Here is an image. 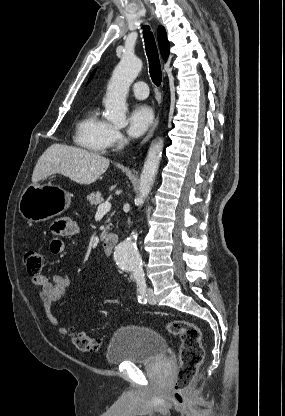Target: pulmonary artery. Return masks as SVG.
<instances>
[{"instance_id": "pulmonary-artery-1", "label": "pulmonary artery", "mask_w": 285, "mask_h": 416, "mask_svg": "<svg viewBox=\"0 0 285 416\" xmlns=\"http://www.w3.org/2000/svg\"><path fill=\"white\" fill-rule=\"evenodd\" d=\"M143 86H146V83L143 81H138L134 83L133 85H131L130 89L133 91L134 95L137 98L144 99L148 96L147 95L148 90L146 87H143Z\"/></svg>"}]
</instances>
